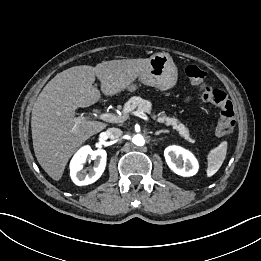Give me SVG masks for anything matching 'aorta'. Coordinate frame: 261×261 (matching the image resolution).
<instances>
[{
    "label": "aorta",
    "mask_w": 261,
    "mask_h": 261,
    "mask_svg": "<svg viewBox=\"0 0 261 261\" xmlns=\"http://www.w3.org/2000/svg\"><path fill=\"white\" fill-rule=\"evenodd\" d=\"M132 142L137 146H143L145 144V140L141 134H137L132 138Z\"/></svg>",
    "instance_id": "obj_1"
}]
</instances>
